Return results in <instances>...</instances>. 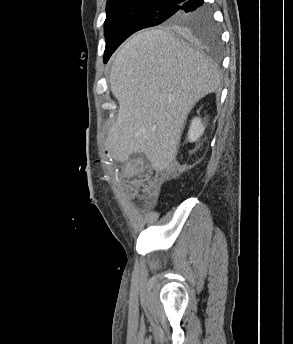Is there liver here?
I'll use <instances>...</instances> for the list:
<instances>
[{
  "label": "liver",
  "instance_id": "obj_1",
  "mask_svg": "<svg viewBox=\"0 0 293 344\" xmlns=\"http://www.w3.org/2000/svg\"><path fill=\"white\" fill-rule=\"evenodd\" d=\"M109 82L119 111L106 149L120 162L144 153L161 172L176 158L188 114L197 101L218 89L220 73L170 31L151 29L120 48Z\"/></svg>",
  "mask_w": 293,
  "mask_h": 344
}]
</instances>
